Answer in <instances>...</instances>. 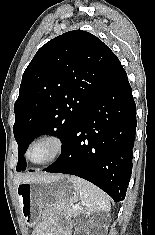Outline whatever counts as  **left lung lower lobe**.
Returning a JSON list of instances; mask_svg holds the SVG:
<instances>
[{
	"mask_svg": "<svg viewBox=\"0 0 155 235\" xmlns=\"http://www.w3.org/2000/svg\"><path fill=\"white\" fill-rule=\"evenodd\" d=\"M136 126L132 89L118 62L78 120L58 160L44 171L81 177L121 202L132 173Z\"/></svg>",
	"mask_w": 155,
	"mask_h": 235,
	"instance_id": "left-lung-lower-lobe-1",
	"label": "left lung lower lobe"
}]
</instances>
